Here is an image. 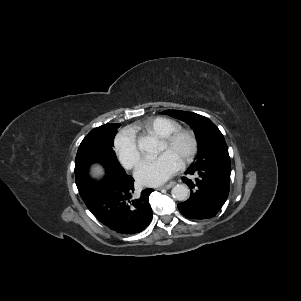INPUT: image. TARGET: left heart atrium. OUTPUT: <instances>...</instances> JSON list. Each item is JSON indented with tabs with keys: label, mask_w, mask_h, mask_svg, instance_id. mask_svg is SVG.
Instances as JSON below:
<instances>
[{
	"label": "left heart atrium",
	"mask_w": 301,
	"mask_h": 301,
	"mask_svg": "<svg viewBox=\"0 0 301 301\" xmlns=\"http://www.w3.org/2000/svg\"><path fill=\"white\" fill-rule=\"evenodd\" d=\"M181 167V161L169 152L155 159L146 160L136 171L137 180L145 185H159L170 178Z\"/></svg>",
	"instance_id": "obj_1"
}]
</instances>
